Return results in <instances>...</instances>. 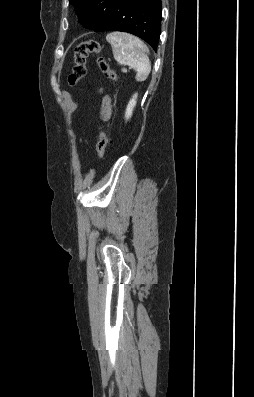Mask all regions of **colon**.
Here are the masks:
<instances>
[{
	"label": "colon",
	"instance_id": "colon-1",
	"mask_svg": "<svg viewBox=\"0 0 254 397\" xmlns=\"http://www.w3.org/2000/svg\"><path fill=\"white\" fill-rule=\"evenodd\" d=\"M101 50V44L95 40L82 42L75 48L74 66L67 78L70 86H76L85 77L87 73V59L91 54L97 56V63L103 74L114 82L118 81L116 73L110 68L105 58L101 55ZM108 142L107 132L105 130L101 131L96 145L97 156L100 160L104 157Z\"/></svg>",
	"mask_w": 254,
	"mask_h": 397
}]
</instances>
